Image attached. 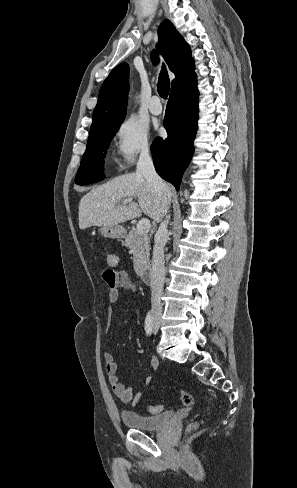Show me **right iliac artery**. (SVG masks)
Here are the masks:
<instances>
[{
    "mask_svg": "<svg viewBox=\"0 0 297 488\" xmlns=\"http://www.w3.org/2000/svg\"><path fill=\"white\" fill-rule=\"evenodd\" d=\"M145 331L149 336L152 334L153 331V316L151 312L147 314L145 319Z\"/></svg>",
    "mask_w": 297,
    "mask_h": 488,
    "instance_id": "82829eb1",
    "label": "right iliac artery"
}]
</instances>
